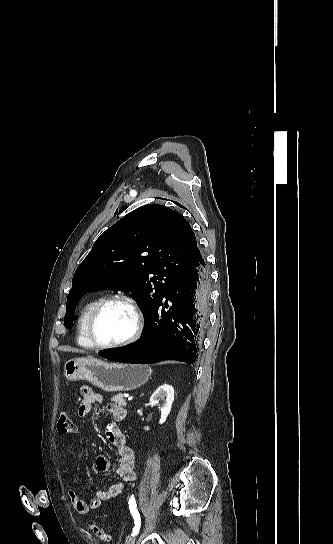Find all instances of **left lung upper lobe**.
Masks as SVG:
<instances>
[{"mask_svg": "<svg viewBox=\"0 0 333 544\" xmlns=\"http://www.w3.org/2000/svg\"><path fill=\"white\" fill-rule=\"evenodd\" d=\"M200 258L195 235L181 214L158 204L142 206L107 229L78 266L64 324L72 327L84 294L108 288L129 290L147 315Z\"/></svg>", "mask_w": 333, "mask_h": 544, "instance_id": "left-lung-upper-lobe-1", "label": "left lung upper lobe"}]
</instances>
